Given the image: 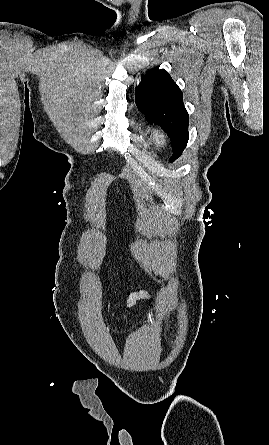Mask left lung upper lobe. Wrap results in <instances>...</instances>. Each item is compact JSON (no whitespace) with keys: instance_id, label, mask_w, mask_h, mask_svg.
Instances as JSON below:
<instances>
[{"instance_id":"obj_1","label":"left lung upper lobe","mask_w":269,"mask_h":445,"mask_svg":"<svg viewBox=\"0 0 269 445\" xmlns=\"http://www.w3.org/2000/svg\"><path fill=\"white\" fill-rule=\"evenodd\" d=\"M135 100L149 122L160 125L170 137L173 148L170 162L175 161L189 139V116L180 88L164 69H152L136 87Z\"/></svg>"}]
</instances>
